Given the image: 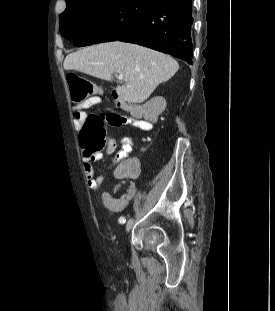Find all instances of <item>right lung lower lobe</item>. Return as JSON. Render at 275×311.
<instances>
[{
	"instance_id": "98d812e1",
	"label": "right lung lower lobe",
	"mask_w": 275,
	"mask_h": 311,
	"mask_svg": "<svg viewBox=\"0 0 275 311\" xmlns=\"http://www.w3.org/2000/svg\"><path fill=\"white\" fill-rule=\"evenodd\" d=\"M191 4V0H162L115 40L152 48L192 64Z\"/></svg>"
}]
</instances>
